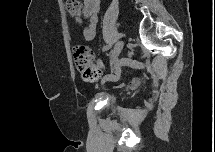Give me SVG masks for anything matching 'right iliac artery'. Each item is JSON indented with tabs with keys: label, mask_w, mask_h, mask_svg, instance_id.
Returning a JSON list of instances; mask_svg holds the SVG:
<instances>
[{
	"label": "right iliac artery",
	"mask_w": 215,
	"mask_h": 152,
	"mask_svg": "<svg viewBox=\"0 0 215 152\" xmlns=\"http://www.w3.org/2000/svg\"><path fill=\"white\" fill-rule=\"evenodd\" d=\"M110 47H105L104 50H108ZM112 52V51H111Z\"/></svg>",
	"instance_id": "right-iliac-artery-1"
}]
</instances>
